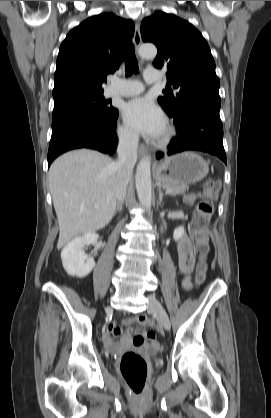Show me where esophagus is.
Here are the masks:
<instances>
[{
  "mask_svg": "<svg viewBox=\"0 0 271 418\" xmlns=\"http://www.w3.org/2000/svg\"><path fill=\"white\" fill-rule=\"evenodd\" d=\"M140 44H141L140 25L138 22H136L135 31H134V46H135L136 51H138ZM138 153L141 157L147 155V148L144 145H140L138 149Z\"/></svg>",
  "mask_w": 271,
  "mask_h": 418,
  "instance_id": "obj_1",
  "label": "esophagus"
}]
</instances>
